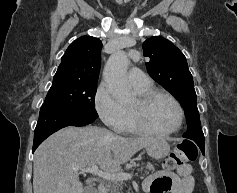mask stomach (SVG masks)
<instances>
[{"label":"stomach","mask_w":237,"mask_h":193,"mask_svg":"<svg viewBox=\"0 0 237 193\" xmlns=\"http://www.w3.org/2000/svg\"><path fill=\"white\" fill-rule=\"evenodd\" d=\"M147 154L156 159L165 158L170 152V146L166 140L158 138L154 142L148 144L146 147Z\"/></svg>","instance_id":"obj_1"}]
</instances>
